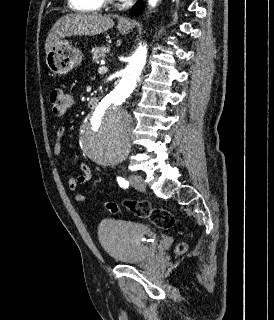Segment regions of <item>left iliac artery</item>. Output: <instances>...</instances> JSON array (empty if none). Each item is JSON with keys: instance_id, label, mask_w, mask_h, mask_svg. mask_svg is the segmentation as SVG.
<instances>
[{"instance_id": "obj_1", "label": "left iliac artery", "mask_w": 274, "mask_h": 320, "mask_svg": "<svg viewBox=\"0 0 274 320\" xmlns=\"http://www.w3.org/2000/svg\"><path fill=\"white\" fill-rule=\"evenodd\" d=\"M117 181H118V184L120 185V187L122 188H127L129 186V183L128 181H126L124 178L122 177H117Z\"/></svg>"}]
</instances>
